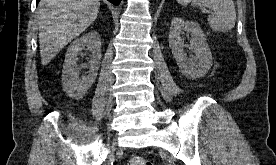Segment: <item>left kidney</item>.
<instances>
[{"label": "left kidney", "mask_w": 276, "mask_h": 165, "mask_svg": "<svg viewBox=\"0 0 276 165\" xmlns=\"http://www.w3.org/2000/svg\"><path fill=\"white\" fill-rule=\"evenodd\" d=\"M183 31L191 34L190 47L195 53L192 58H188L184 52L186 44L181 38ZM169 46L180 72L190 79L203 77L212 66V53L206 35L196 22L174 17L169 32Z\"/></svg>", "instance_id": "obj_1"}]
</instances>
